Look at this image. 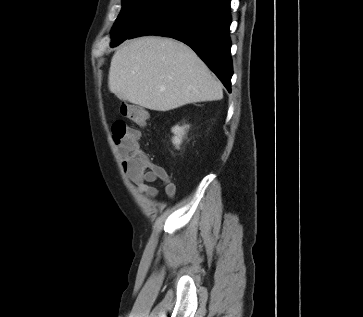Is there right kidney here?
I'll return each mask as SVG.
<instances>
[{
  "instance_id": "obj_1",
  "label": "right kidney",
  "mask_w": 363,
  "mask_h": 317,
  "mask_svg": "<svg viewBox=\"0 0 363 317\" xmlns=\"http://www.w3.org/2000/svg\"><path fill=\"white\" fill-rule=\"evenodd\" d=\"M189 128V126H175L172 128V132L174 133V137L172 138V142L176 147H179V145L182 142V138L186 134V130Z\"/></svg>"
}]
</instances>
